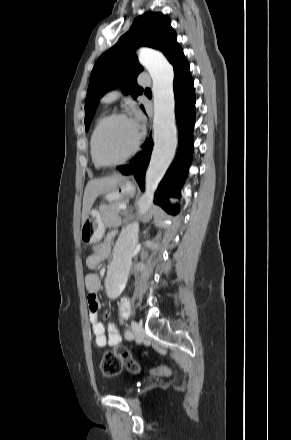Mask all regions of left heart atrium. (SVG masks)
Masks as SVG:
<instances>
[{
  "instance_id": "obj_1",
  "label": "left heart atrium",
  "mask_w": 291,
  "mask_h": 440,
  "mask_svg": "<svg viewBox=\"0 0 291 440\" xmlns=\"http://www.w3.org/2000/svg\"><path fill=\"white\" fill-rule=\"evenodd\" d=\"M131 122L135 128L136 131H138L142 124V116L139 113H136L133 118L131 119Z\"/></svg>"
}]
</instances>
